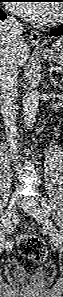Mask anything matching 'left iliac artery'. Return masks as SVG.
Returning <instances> with one entry per match:
<instances>
[{
	"label": "left iliac artery",
	"mask_w": 63,
	"mask_h": 297,
	"mask_svg": "<svg viewBox=\"0 0 63 297\" xmlns=\"http://www.w3.org/2000/svg\"><path fill=\"white\" fill-rule=\"evenodd\" d=\"M42 207L46 213H49L51 210L50 203L45 198L42 199Z\"/></svg>",
	"instance_id": "44dca946"
}]
</instances>
